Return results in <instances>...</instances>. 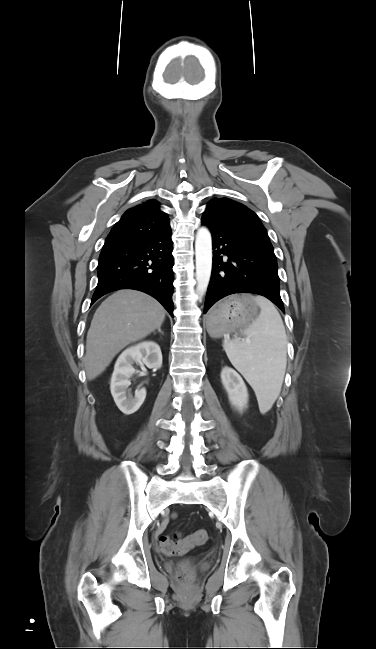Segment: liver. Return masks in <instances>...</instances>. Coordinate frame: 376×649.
Here are the masks:
<instances>
[{
	"mask_svg": "<svg viewBox=\"0 0 376 649\" xmlns=\"http://www.w3.org/2000/svg\"><path fill=\"white\" fill-rule=\"evenodd\" d=\"M166 311L148 294L122 289L96 310L86 339L85 369L88 380L99 376L114 356L128 344L159 328Z\"/></svg>",
	"mask_w": 376,
	"mask_h": 649,
	"instance_id": "obj_1",
	"label": "liver"
}]
</instances>
